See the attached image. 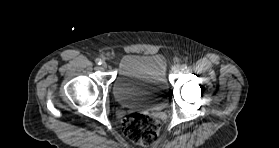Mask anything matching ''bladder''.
<instances>
[{
    "instance_id": "31cf9c89",
    "label": "bladder",
    "mask_w": 279,
    "mask_h": 148,
    "mask_svg": "<svg viewBox=\"0 0 279 148\" xmlns=\"http://www.w3.org/2000/svg\"><path fill=\"white\" fill-rule=\"evenodd\" d=\"M117 103L126 108L161 110L168 103L166 62L160 55H127L113 82Z\"/></svg>"
}]
</instances>
